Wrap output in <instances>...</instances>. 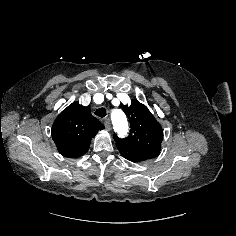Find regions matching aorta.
Listing matches in <instances>:
<instances>
[{
    "mask_svg": "<svg viewBox=\"0 0 236 236\" xmlns=\"http://www.w3.org/2000/svg\"><path fill=\"white\" fill-rule=\"evenodd\" d=\"M111 119L115 131L120 135L124 136L128 131V121L126 115L119 109L113 110Z\"/></svg>",
    "mask_w": 236,
    "mask_h": 236,
    "instance_id": "obj_1",
    "label": "aorta"
}]
</instances>
